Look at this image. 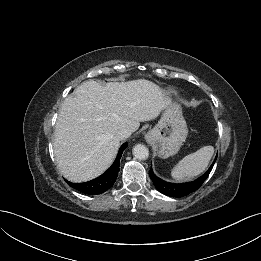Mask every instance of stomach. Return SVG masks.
<instances>
[{
    "label": "stomach",
    "instance_id": "obj_1",
    "mask_svg": "<svg viewBox=\"0 0 261 261\" xmlns=\"http://www.w3.org/2000/svg\"><path fill=\"white\" fill-rule=\"evenodd\" d=\"M188 128L179 105L172 103L147 135L148 141L161 158L178 153L186 140Z\"/></svg>",
    "mask_w": 261,
    "mask_h": 261
}]
</instances>
